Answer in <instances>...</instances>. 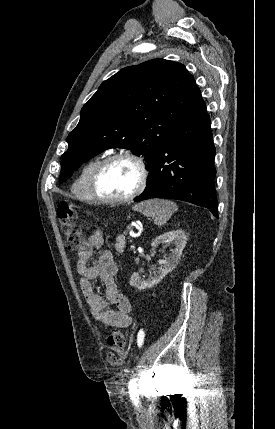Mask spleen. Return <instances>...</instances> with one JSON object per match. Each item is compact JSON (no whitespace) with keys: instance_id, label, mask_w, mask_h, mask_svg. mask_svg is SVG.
<instances>
[{"instance_id":"spleen-1","label":"spleen","mask_w":275,"mask_h":429,"mask_svg":"<svg viewBox=\"0 0 275 429\" xmlns=\"http://www.w3.org/2000/svg\"><path fill=\"white\" fill-rule=\"evenodd\" d=\"M132 209L152 218L156 225L162 226L177 211L178 207L170 200L150 199L134 205Z\"/></svg>"}]
</instances>
